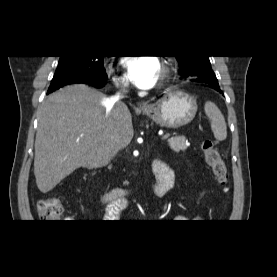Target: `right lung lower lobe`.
Segmentation results:
<instances>
[{
	"mask_svg": "<svg viewBox=\"0 0 277 277\" xmlns=\"http://www.w3.org/2000/svg\"><path fill=\"white\" fill-rule=\"evenodd\" d=\"M81 83H86V84L92 85V86L97 87V88L103 87V85H104V84H101V83H96V82L87 81V80L81 81ZM50 92H52V91H48V93H50Z\"/></svg>",
	"mask_w": 277,
	"mask_h": 277,
	"instance_id": "1",
	"label": "right lung lower lobe"
}]
</instances>
